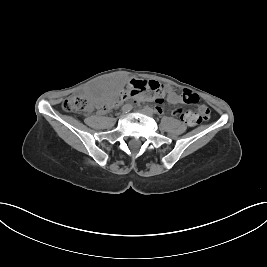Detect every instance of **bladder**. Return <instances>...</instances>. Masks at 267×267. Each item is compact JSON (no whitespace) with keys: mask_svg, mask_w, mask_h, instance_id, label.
<instances>
[{"mask_svg":"<svg viewBox=\"0 0 267 267\" xmlns=\"http://www.w3.org/2000/svg\"><path fill=\"white\" fill-rule=\"evenodd\" d=\"M113 89V92H116L118 90V87L117 88H112Z\"/></svg>","mask_w":267,"mask_h":267,"instance_id":"bladder-1","label":"bladder"}]
</instances>
